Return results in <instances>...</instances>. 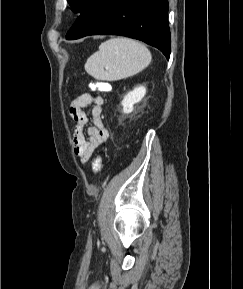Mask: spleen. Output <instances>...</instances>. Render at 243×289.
<instances>
[{
    "label": "spleen",
    "mask_w": 243,
    "mask_h": 289,
    "mask_svg": "<svg viewBox=\"0 0 243 289\" xmlns=\"http://www.w3.org/2000/svg\"><path fill=\"white\" fill-rule=\"evenodd\" d=\"M151 59L150 51L142 43L117 37L101 43L99 50L87 59L85 70L97 80L117 81L141 72Z\"/></svg>",
    "instance_id": "obj_1"
}]
</instances>
